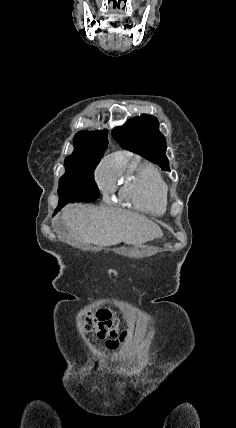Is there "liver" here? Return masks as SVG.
Returning a JSON list of instances; mask_svg holds the SVG:
<instances>
[{"label": "liver", "mask_w": 236, "mask_h": 428, "mask_svg": "<svg viewBox=\"0 0 236 428\" xmlns=\"http://www.w3.org/2000/svg\"><path fill=\"white\" fill-rule=\"evenodd\" d=\"M61 218L75 238L96 246H116L121 242L134 246L163 236L157 224L134 212L68 206Z\"/></svg>", "instance_id": "1"}]
</instances>
